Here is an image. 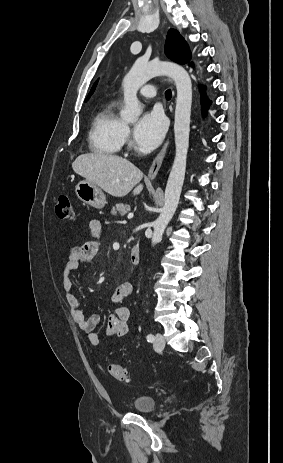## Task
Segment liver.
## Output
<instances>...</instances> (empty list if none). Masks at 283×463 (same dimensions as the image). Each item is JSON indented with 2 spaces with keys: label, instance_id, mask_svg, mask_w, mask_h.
Listing matches in <instances>:
<instances>
[{
  "label": "liver",
  "instance_id": "obj_1",
  "mask_svg": "<svg viewBox=\"0 0 283 463\" xmlns=\"http://www.w3.org/2000/svg\"><path fill=\"white\" fill-rule=\"evenodd\" d=\"M75 173L84 177L108 194L123 197L133 190L138 195L143 173L133 163L117 155L94 152L78 156L72 163Z\"/></svg>",
  "mask_w": 283,
  "mask_h": 463
}]
</instances>
